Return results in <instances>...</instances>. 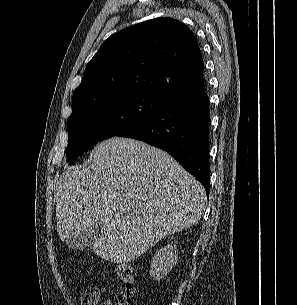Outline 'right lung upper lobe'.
Returning a JSON list of instances; mask_svg holds the SVG:
<instances>
[{
	"label": "right lung upper lobe",
	"mask_w": 297,
	"mask_h": 305,
	"mask_svg": "<svg viewBox=\"0 0 297 305\" xmlns=\"http://www.w3.org/2000/svg\"><path fill=\"white\" fill-rule=\"evenodd\" d=\"M193 32L172 18L123 29L103 42L74 91L73 110L105 97L149 93L167 99L204 86Z\"/></svg>",
	"instance_id": "right-lung-upper-lobe-1"
}]
</instances>
